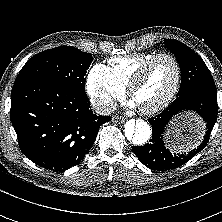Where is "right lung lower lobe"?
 <instances>
[{"instance_id": "obj_1", "label": "right lung lower lobe", "mask_w": 222, "mask_h": 222, "mask_svg": "<svg viewBox=\"0 0 222 222\" xmlns=\"http://www.w3.org/2000/svg\"><path fill=\"white\" fill-rule=\"evenodd\" d=\"M10 119L21 151L37 165L64 171L78 164L110 116L93 114L86 93L45 81L14 83Z\"/></svg>"}]
</instances>
